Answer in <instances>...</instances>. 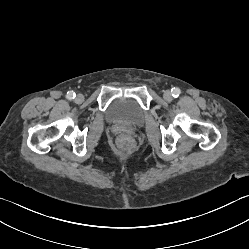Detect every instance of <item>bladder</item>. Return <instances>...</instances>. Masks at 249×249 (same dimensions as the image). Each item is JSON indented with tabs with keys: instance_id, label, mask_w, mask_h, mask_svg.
Returning a JSON list of instances; mask_svg holds the SVG:
<instances>
[{
	"instance_id": "obj_1",
	"label": "bladder",
	"mask_w": 249,
	"mask_h": 249,
	"mask_svg": "<svg viewBox=\"0 0 249 249\" xmlns=\"http://www.w3.org/2000/svg\"><path fill=\"white\" fill-rule=\"evenodd\" d=\"M106 118L111 123L137 126L145 119L144 109L130 98H119L112 101L106 109Z\"/></svg>"
}]
</instances>
